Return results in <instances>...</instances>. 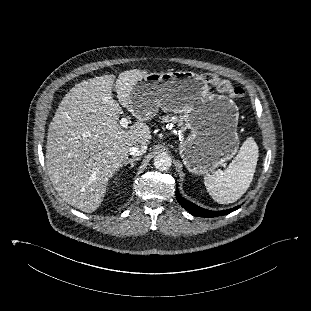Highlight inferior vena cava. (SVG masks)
<instances>
[{"instance_id":"obj_1","label":"inferior vena cava","mask_w":311,"mask_h":311,"mask_svg":"<svg viewBox=\"0 0 311 311\" xmlns=\"http://www.w3.org/2000/svg\"><path fill=\"white\" fill-rule=\"evenodd\" d=\"M147 144H141L140 146H133L129 149L132 156H140L146 152Z\"/></svg>"}]
</instances>
